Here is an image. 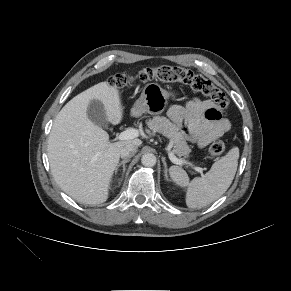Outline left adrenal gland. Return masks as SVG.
<instances>
[{
	"mask_svg": "<svg viewBox=\"0 0 291 291\" xmlns=\"http://www.w3.org/2000/svg\"><path fill=\"white\" fill-rule=\"evenodd\" d=\"M162 162H163V165H164V176H165V179L168 180V176H167V164H166V161H165V157H162Z\"/></svg>",
	"mask_w": 291,
	"mask_h": 291,
	"instance_id": "obj_1",
	"label": "left adrenal gland"
}]
</instances>
